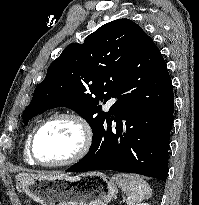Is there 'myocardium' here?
I'll return each instance as SVG.
<instances>
[{"label":"myocardium","instance_id":"f54148a6","mask_svg":"<svg viewBox=\"0 0 199 205\" xmlns=\"http://www.w3.org/2000/svg\"><path fill=\"white\" fill-rule=\"evenodd\" d=\"M58 120H70L73 121L81 130V142L78 147V149L75 151L73 155L70 157L56 161V162H42L38 160L36 154H35V141L38 136V134L49 124H51L54 121ZM94 140V132L91 124L89 121L82 115L75 113V112H61L54 114L50 117H48L46 120H44L42 123H40L33 133L30 136L29 144H28V153L31 158V160L40 166L44 167H60V166H66L73 164L80 159H82L91 149L92 144Z\"/></svg>","mask_w":199,"mask_h":205}]
</instances>
